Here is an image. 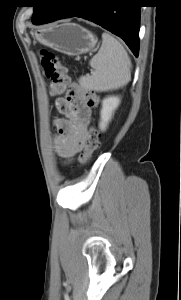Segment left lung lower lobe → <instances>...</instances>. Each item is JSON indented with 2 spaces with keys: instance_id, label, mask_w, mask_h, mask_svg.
Here are the masks:
<instances>
[{
  "instance_id": "1",
  "label": "left lung lower lobe",
  "mask_w": 181,
  "mask_h": 300,
  "mask_svg": "<svg viewBox=\"0 0 181 300\" xmlns=\"http://www.w3.org/2000/svg\"><path fill=\"white\" fill-rule=\"evenodd\" d=\"M138 0H58L42 24L69 17L92 21L122 38L133 54L139 51L140 5Z\"/></svg>"
}]
</instances>
